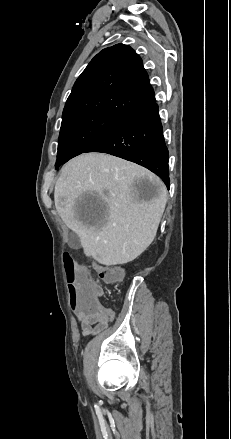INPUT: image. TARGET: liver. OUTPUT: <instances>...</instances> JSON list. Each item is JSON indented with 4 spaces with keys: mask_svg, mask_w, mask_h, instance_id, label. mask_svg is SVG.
Instances as JSON below:
<instances>
[{
    "mask_svg": "<svg viewBox=\"0 0 231 439\" xmlns=\"http://www.w3.org/2000/svg\"><path fill=\"white\" fill-rule=\"evenodd\" d=\"M139 179L154 189L143 195ZM100 206L83 211V197ZM167 190L148 169L104 153H86L63 166L54 190L55 208L79 237L84 254L112 266L136 259L154 240L165 209Z\"/></svg>",
    "mask_w": 231,
    "mask_h": 439,
    "instance_id": "liver-1",
    "label": "liver"
}]
</instances>
